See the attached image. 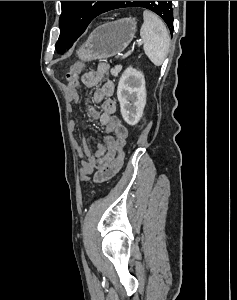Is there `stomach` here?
<instances>
[{
    "mask_svg": "<svg viewBox=\"0 0 237 300\" xmlns=\"http://www.w3.org/2000/svg\"><path fill=\"white\" fill-rule=\"evenodd\" d=\"M136 25L132 17L100 25L76 51L77 57L87 63L95 59H108L120 55L131 43L136 33Z\"/></svg>",
    "mask_w": 237,
    "mask_h": 300,
    "instance_id": "stomach-1",
    "label": "stomach"
}]
</instances>
